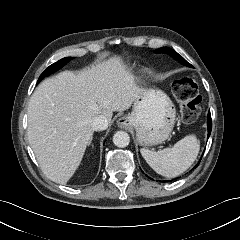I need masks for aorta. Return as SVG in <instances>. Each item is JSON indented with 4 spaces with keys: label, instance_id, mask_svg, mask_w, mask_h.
<instances>
[{
    "label": "aorta",
    "instance_id": "1",
    "mask_svg": "<svg viewBox=\"0 0 240 240\" xmlns=\"http://www.w3.org/2000/svg\"><path fill=\"white\" fill-rule=\"evenodd\" d=\"M113 143L115 146L124 148L130 143V136L125 131H117L113 136Z\"/></svg>",
    "mask_w": 240,
    "mask_h": 240
}]
</instances>
